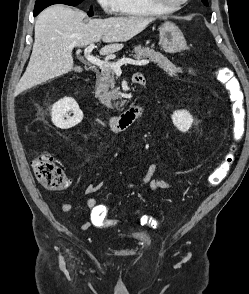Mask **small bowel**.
Here are the masks:
<instances>
[{
	"instance_id": "obj_1",
	"label": "small bowel",
	"mask_w": 249,
	"mask_h": 294,
	"mask_svg": "<svg viewBox=\"0 0 249 294\" xmlns=\"http://www.w3.org/2000/svg\"><path fill=\"white\" fill-rule=\"evenodd\" d=\"M187 72L188 74L193 75V70L190 67H187ZM157 168L158 163L152 162L148 166L144 176L139 181L127 183L126 187L128 189H139L148 186L153 191L171 189L173 187L172 183L154 177ZM102 187L103 184L101 182L90 183L85 187L84 193L86 195H92L101 190ZM85 206L90 211V218L89 220H82L80 222V227L82 230H87L91 226L103 228L113 223V221L107 216L106 207L102 204H99L96 199L88 198ZM60 208L61 211L65 213L73 211V206L70 203H63L61 204Z\"/></svg>"
}]
</instances>
